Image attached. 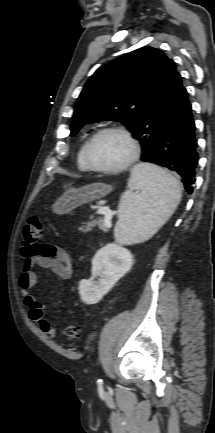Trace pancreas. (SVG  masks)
<instances>
[{"label":"pancreas","instance_id":"1","mask_svg":"<svg viewBox=\"0 0 215 433\" xmlns=\"http://www.w3.org/2000/svg\"><path fill=\"white\" fill-rule=\"evenodd\" d=\"M95 226H99V228L102 230L107 229V227L104 224V219H97V220H90L84 223V225L80 227V230L84 233H87L91 231Z\"/></svg>","mask_w":215,"mask_h":433}]
</instances>
